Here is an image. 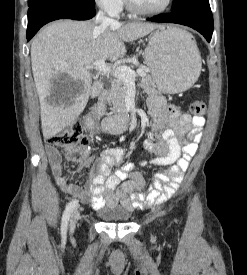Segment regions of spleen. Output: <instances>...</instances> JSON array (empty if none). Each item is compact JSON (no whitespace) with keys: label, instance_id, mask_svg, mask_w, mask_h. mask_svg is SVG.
<instances>
[{"label":"spleen","instance_id":"obj_1","mask_svg":"<svg viewBox=\"0 0 247 275\" xmlns=\"http://www.w3.org/2000/svg\"><path fill=\"white\" fill-rule=\"evenodd\" d=\"M187 37H188V39H190L191 40V35H187ZM195 43V42H194ZM196 44V43H195Z\"/></svg>","mask_w":247,"mask_h":275}]
</instances>
